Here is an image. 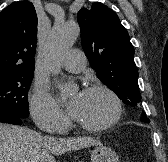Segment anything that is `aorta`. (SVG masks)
Returning a JSON list of instances; mask_svg holds the SVG:
<instances>
[{"mask_svg": "<svg viewBox=\"0 0 168 162\" xmlns=\"http://www.w3.org/2000/svg\"><path fill=\"white\" fill-rule=\"evenodd\" d=\"M80 34L79 26L74 22H56L48 36L43 50L45 66L53 73H59V60L73 46ZM63 95L70 93L68 84H60Z\"/></svg>", "mask_w": 168, "mask_h": 162, "instance_id": "762f6f07", "label": "aorta"}]
</instances>
